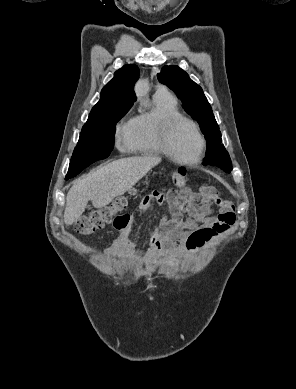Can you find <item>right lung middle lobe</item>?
<instances>
[{
	"label": "right lung middle lobe",
	"mask_w": 296,
	"mask_h": 389,
	"mask_svg": "<svg viewBox=\"0 0 296 389\" xmlns=\"http://www.w3.org/2000/svg\"><path fill=\"white\" fill-rule=\"evenodd\" d=\"M129 108H117L104 115L88 118L74 149L69 171L87 167L109 156L114 146L115 125Z\"/></svg>",
	"instance_id": "obj_1"
}]
</instances>
